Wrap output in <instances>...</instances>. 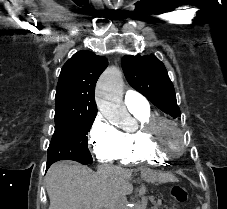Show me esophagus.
Wrapping results in <instances>:
<instances>
[{"mask_svg":"<svg viewBox=\"0 0 227 209\" xmlns=\"http://www.w3.org/2000/svg\"><path fill=\"white\" fill-rule=\"evenodd\" d=\"M138 176L139 177H147L148 176V173L147 172H139L138 173Z\"/></svg>","mask_w":227,"mask_h":209,"instance_id":"obj_1","label":"esophagus"}]
</instances>
